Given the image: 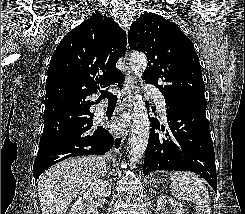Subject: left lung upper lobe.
<instances>
[{
  "mask_svg": "<svg viewBox=\"0 0 245 214\" xmlns=\"http://www.w3.org/2000/svg\"><path fill=\"white\" fill-rule=\"evenodd\" d=\"M128 38L130 48L148 58L142 78L160 90L167 106L207 105L199 58L176 24L144 13L131 25Z\"/></svg>",
  "mask_w": 245,
  "mask_h": 214,
  "instance_id": "5c2ea615",
  "label": "left lung upper lobe"
}]
</instances>
